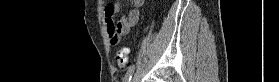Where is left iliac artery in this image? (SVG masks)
<instances>
[{
  "label": "left iliac artery",
  "instance_id": "left-iliac-artery-1",
  "mask_svg": "<svg viewBox=\"0 0 279 82\" xmlns=\"http://www.w3.org/2000/svg\"><path fill=\"white\" fill-rule=\"evenodd\" d=\"M134 70H135V66L132 65L128 68L126 74H125V77L123 78V82H130L131 81V78H132V75L134 73Z\"/></svg>",
  "mask_w": 279,
  "mask_h": 82
}]
</instances>
